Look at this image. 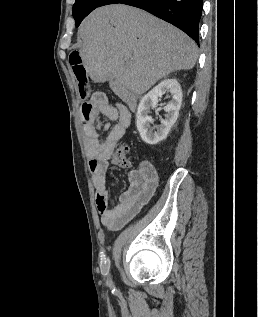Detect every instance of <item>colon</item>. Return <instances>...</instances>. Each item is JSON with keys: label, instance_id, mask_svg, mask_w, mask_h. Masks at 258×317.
Returning a JSON list of instances; mask_svg holds the SVG:
<instances>
[{"label": "colon", "instance_id": "obj_1", "mask_svg": "<svg viewBox=\"0 0 258 317\" xmlns=\"http://www.w3.org/2000/svg\"><path fill=\"white\" fill-rule=\"evenodd\" d=\"M69 62L77 80L79 96L84 103H87L91 92V83L79 51L74 50L70 53ZM82 126L86 139H92L96 136L97 132L93 127V120L88 115L83 119ZM129 151L130 147L127 144H119L113 156L114 163L123 167L129 166Z\"/></svg>", "mask_w": 258, "mask_h": 317}]
</instances>
